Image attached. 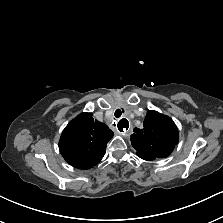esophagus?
Returning a JSON list of instances; mask_svg holds the SVG:
<instances>
[{"label": "esophagus", "mask_w": 223, "mask_h": 223, "mask_svg": "<svg viewBox=\"0 0 223 223\" xmlns=\"http://www.w3.org/2000/svg\"><path fill=\"white\" fill-rule=\"evenodd\" d=\"M118 130L122 135H127L131 130V125L126 119H121L118 123Z\"/></svg>", "instance_id": "34e87169"}]
</instances>
